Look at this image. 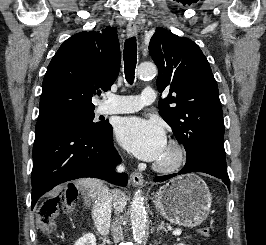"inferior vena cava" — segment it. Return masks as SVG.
I'll return each mask as SVG.
<instances>
[{
  "label": "inferior vena cava",
  "mask_w": 266,
  "mask_h": 245,
  "mask_svg": "<svg viewBox=\"0 0 266 245\" xmlns=\"http://www.w3.org/2000/svg\"><path fill=\"white\" fill-rule=\"evenodd\" d=\"M116 171L117 173H123L125 167L119 165ZM111 195L112 193L109 191L108 187H102L98 193H95V197H93V221L100 235H108L109 233L112 211Z\"/></svg>",
  "instance_id": "obj_1"
}]
</instances>
